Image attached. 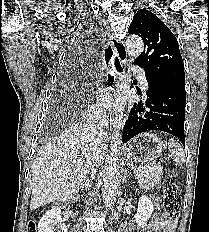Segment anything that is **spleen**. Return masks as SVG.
Returning a JSON list of instances; mask_svg holds the SVG:
<instances>
[{
    "label": "spleen",
    "mask_w": 209,
    "mask_h": 232,
    "mask_svg": "<svg viewBox=\"0 0 209 232\" xmlns=\"http://www.w3.org/2000/svg\"><path fill=\"white\" fill-rule=\"evenodd\" d=\"M168 147L175 164L181 165L185 163L186 161L185 153L179 143H177L173 139H170L168 143Z\"/></svg>",
    "instance_id": "obj_1"
}]
</instances>
